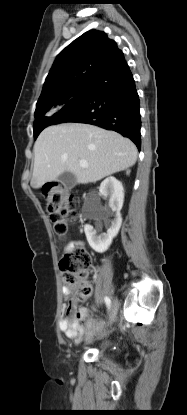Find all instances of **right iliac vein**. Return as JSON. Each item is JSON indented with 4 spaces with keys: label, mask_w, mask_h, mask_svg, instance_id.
<instances>
[{
    "label": "right iliac vein",
    "mask_w": 187,
    "mask_h": 415,
    "mask_svg": "<svg viewBox=\"0 0 187 415\" xmlns=\"http://www.w3.org/2000/svg\"><path fill=\"white\" fill-rule=\"evenodd\" d=\"M118 308H119L118 300L116 298H113L111 312H110V316H109V320H108L107 324H102V325L94 328L91 331V334H98L101 331H103L107 326L111 325L116 319Z\"/></svg>",
    "instance_id": "1"
}]
</instances>
